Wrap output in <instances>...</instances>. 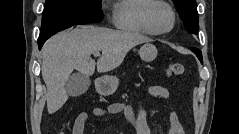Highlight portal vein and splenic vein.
<instances>
[{"label":"portal vein and splenic vein","mask_w":239,"mask_h":134,"mask_svg":"<svg viewBox=\"0 0 239 134\" xmlns=\"http://www.w3.org/2000/svg\"><path fill=\"white\" fill-rule=\"evenodd\" d=\"M93 54H94V56H96V57L100 55L99 52H94Z\"/></svg>","instance_id":"18ae733b"}]
</instances>
